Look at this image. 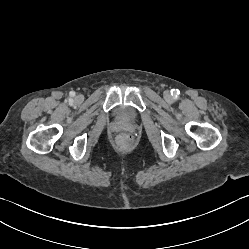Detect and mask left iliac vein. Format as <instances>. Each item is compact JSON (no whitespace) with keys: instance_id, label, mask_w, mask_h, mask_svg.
<instances>
[{"instance_id":"1","label":"left iliac vein","mask_w":249,"mask_h":249,"mask_svg":"<svg viewBox=\"0 0 249 249\" xmlns=\"http://www.w3.org/2000/svg\"><path fill=\"white\" fill-rule=\"evenodd\" d=\"M164 97L167 101H172V96L169 92H165Z\"/></svg>"}]
</instances>
